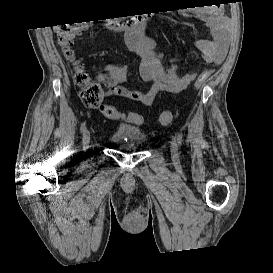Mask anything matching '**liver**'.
Returning <instances> with one entry per match:
<instances>
[{
  "label": "liver",
  "instance_id": "liver-1",
  "mask_svg": "<svg viewBox=\"0 0 273 273\" xmlns=\"http://www.w3.org/2000/svg\"><path fill=\"white\" fill-rule=\"evenodd\" d=\"M54 29H55V30H56V29H59V26H56Z\"/></svg>",
  "mask_w": 273,
  "mask_h": 273
}]
</instances>
